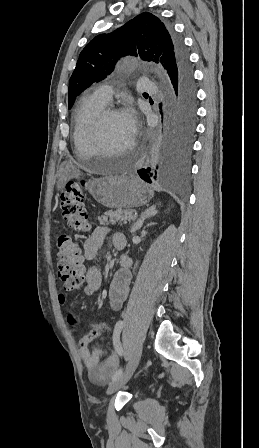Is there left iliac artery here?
Returning a JSON list of instances; mask_svg holds the SVG:
<instances>
[{"instance_id":"44dca946","label":"left iliac artery","mask_w":259,"mask_h":448,"mask_svg":"<svg viewBox=\"0 0 259 448\" xmlns=\"http://www.w3.org/2000/svg\"><path fill=\"white\" fill-rule=\"evenodd\" d=\"M123 327H124V321L120 320L116 323L114 332H113V346H114L116 353L119 356L123 355V348H122V345L120 342V333H121ZM122 373H123L122 368L118 369L112 376V380L114 381L117 378H119L122 375Z\"/></svg>"}]
</instances>
